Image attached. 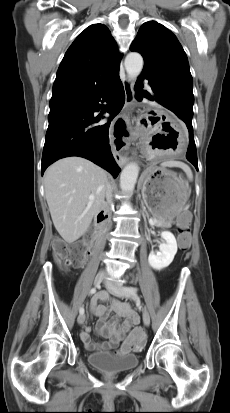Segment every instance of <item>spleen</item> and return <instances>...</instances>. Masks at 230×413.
<instances>
[{
  "instance_id": "1",
  "label": "spleen",
  "mask_w": 230,
  "mask_h": 413,
  "mask_svg": "<svg viewBox=\"0 0 230 413\" xmlns=\"http://www.w3.org/2000/svg\"><path fill=\"white\" fill-rule=\"evenodd\" d=\"M161 166L162 167H178V168H181L186 173L187 178L190 181L193 179V174H192V171H191L190 167L187 164L183 163V162L170 160V161L163 162L161 164Z\"/></svg>"
}]
</instances>
